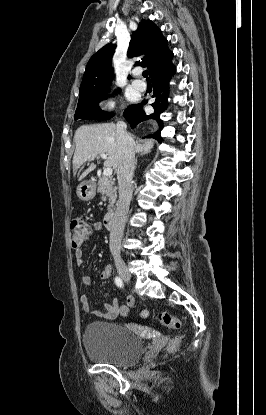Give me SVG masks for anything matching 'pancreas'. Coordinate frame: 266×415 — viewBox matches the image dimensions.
I'll return each instance as SVG.
<instances>
[{"label":"pancreas","mask_w":266,"mask_h":415,"mask_svg":"<svg viewBox=\"0 0 266 415\" xmlns=\"http://www.w3.org/2000/svg\"><path fill=\"white\" fill-rule=\"evenodd\" d=\"M97 192L102 195V200L106 201L108 198L107 210L109 213H112L117 198V187L114 185L113 178L110 176L101 177L98 182Z\"/></svg>","instance_id":"obj_1"}]
</instances>
